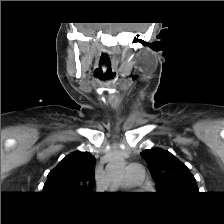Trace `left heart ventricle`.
Masks as SVG:
<instances>
[{"mask_svg": "<svg viewBox=\"0 0 224 224\" xmlns=\"http://www.w3.org/2000/svg\"><path fill=\"white\" fill-rule=\"evenodd\" d=\"M121 185H122V187H127V186H124V180L122 181Z\"/></svg>", "mask_w": 224, "mask_h": 224, "instance_id": "b2bd125f", "label": "left heart ventricle"}]
</instances>
